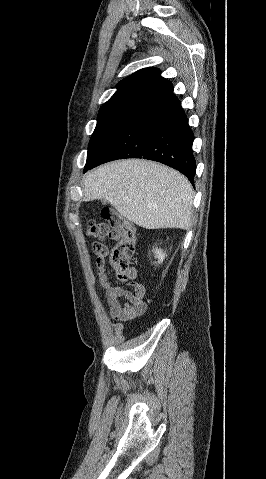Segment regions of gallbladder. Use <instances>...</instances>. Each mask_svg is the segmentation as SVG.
I'll list each match as a JSON object with an SVG mask.
<instances>
[{
  "instance_id": "gallbladder-1",
  "label": "gallbladder",
  "mask_w": 266,
  "mask_h": 479,
  "mask_svg": "<svg viewBox=\"0 0 266 479\" xmlns=\"http://www.w3.org/2000/svg\"><path fill=\"white\" fill-rule=\"evenodd\" d=\"M107 201L106 200H103V203H106Z\"/></svg>"
}]
</instances>
